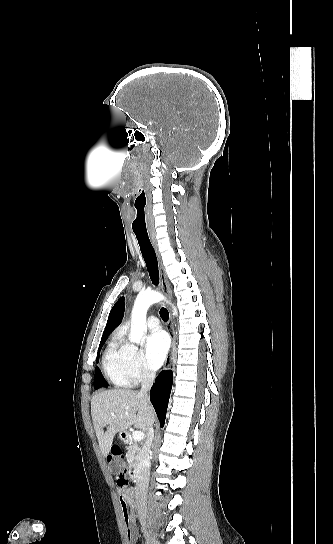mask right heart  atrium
Returning a JSON list of instances; mask_svg holds the SVG:
<instances>
[{
    "instance_id": "1",
    "label": "right heart atrium",
    "mask_w": 333,
    "mask_h": 544,
    "mask_svg": "<svg viewBox=\"0 0 333 544\" xmlns=\"http://www.w3.org/2000/svg\"><path fill=\"white\" fill-rule=\"evenodd\" d=\"M122 356L125 373L130 384H138L154 376V372L146 363L142 351L136 345L123 342Z\"/></svg>"
}]
</instances>
